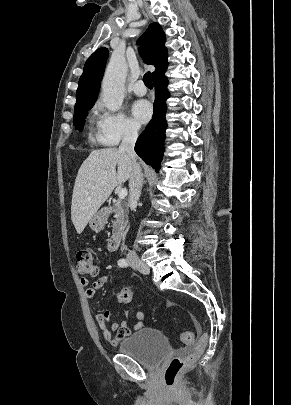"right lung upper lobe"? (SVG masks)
<instances>
[{
    "mask_svg": "<svg viewBox=\"0 0 291 405\" xmlns=\"http://www.w3.org/2000/svg\"><path fill=\"white\" fill-rule=\"evenodd\" d=\"M165 41V34L158 23L150 24L139 39L140 54L144 62L156 67L152 73L153 79L163 75L168 66ZM107 58L108 49L99 48L86 61L83 74L79 79L74 112L93 107L97 100Z\"/></svg>",
    "mask_w": 291,
    "mask_h": 405,
    "instance_id": "obj_1",
    "label": "right lung upper lobe"
}]
</instances>
